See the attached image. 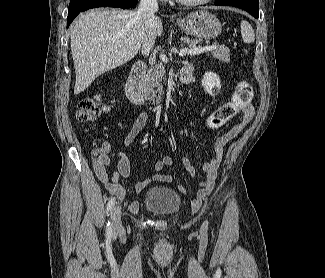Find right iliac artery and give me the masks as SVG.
Listing matches in <instances>:
<instances>
[{"label":"right iliac artery","mask_w":325,"mask_h":278,"mask_svg":"<svg viewBox=\"0 0 325 278\" xmlns=\"http://www.w3.org/2000/svg\"><path fill=\"white\" fill-rule=\"evenodd\" d=\"M115 204V198H111L107 204V207H106V212L109 216V213L111 212L113 206ZM106 232L107 234H111L112 233V225L110 224V222L108 221L107 223V229H106Z\"/></svg>","instance_id":"82829eb1"}]
</instances>
